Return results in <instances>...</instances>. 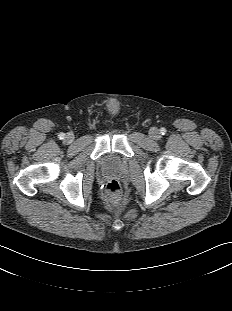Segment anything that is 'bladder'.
<instances>
[{"instance_id": "31cf9c89", "label": "bladder", "mask_w": 232, "mask_h": 311, "mask_svg": "<svg viewBox=\"0 0 232 311\" xmlns=\"http://www.w3.org/2000/svg\"><path fill=\"white\" fill-rule=\"evenodd\" d=\"M103 166H104L105 170H107L111 173H118L122 170L123 163L121 162V160H119L117 158L110 157V158H107L104 160Z\"/></svg>"}]
</instances>
